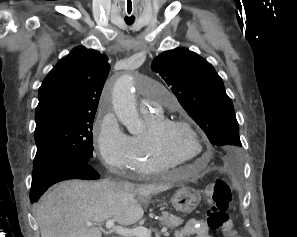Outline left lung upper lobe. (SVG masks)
Masks as SVG:
<instances>
[{
    "label": "left lung upper lobe",
    "mask_w": 297,
    "mask_h": 237,
    "mask_svg": "<svg viewBox=\"0 0 297 237\" xmlns=\"http://www.w3.org/2000/svg\"><path fill=\"white\" fill-rule=\"evenodd\" d=\"M179 103L216 145L227 162L241 154L239 126L221 77L210 63L185 48L165 51L151 64Z\"/></svg>",
    "instance_id": "obj_1"
}]
</instances>
